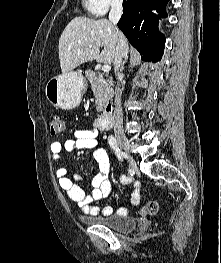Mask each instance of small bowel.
<instances>
[{"instance_id": "c3829d8e", "label": "small bowel", "mask_w": 221, "mask_h": 263, "mask_svg": "<svg viewBox=\"0 0 221 263\" xmlns=\"http://www.w3.org/2000/svg\"><path fill=\"white\" fill-rule=\"evenodd\" d=\"M99 130L92 128L89 130H75L71 138H67L62 142L54 141L50 144V151L55 162H59L62 154L65 151L75 149L91 150L94 159L98 165V173L93 177L91 182V191L86 194L76 182L82 178L79 174L73 176L68 175V169L65 166H60L56 169V177L60 188L77 204V206L86 214L96 215L100 211L103 215L113 213L111 206H105L101 210L94 203L107 198L113 191V185L109 179L110 173V158L106 150L98 141ZM121 184H132L133 190L130 195V203L133 206H138L141 198V185L130 175H123L119 178ZM119 215H126L128 208L121 206L117 209Z\"/></svg>"}]
</instances>
